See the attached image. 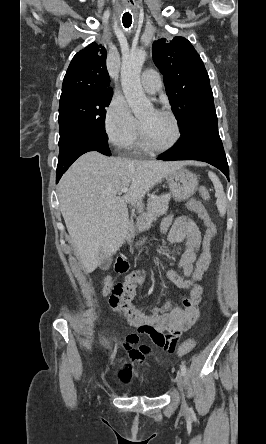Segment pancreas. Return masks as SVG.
Returning a JSON list of instances; mask_svg holds the SVG:
<instances>
[{
	"instance_id": "1",
	"label": "pancreas",
	"mask_w": 266,
	"mask_h": 444,
	"mask_svg": "<svg viewBox=\"0 0 266 444\" xmlns=\"http://www.w3.org/2000/svg\"><path fill=\"white\" fill-rule=\"evenodd\" d=\"M170 194L156 196L151 198L146 206V212H143V207L140 208L142 215L137 219L136 231H142L146 228V222L155 219L156 217L166 214L169 208Z\"/></svg>"
}]
</instances>
